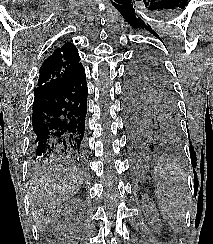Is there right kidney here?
<instances>
[{"mask_svg": "<svg viewBox=\"0 0 213 244\" xmlns=\"http://www.w3.org/2000/svg\"><path fill=\"white\" fill-rule=\"evenodd\" d=\"M83 207V200L80 198H74L67 202L66 208H79Z\"/></svg>", "mask_w": 213, "mask_h": 244, "instance_id": "ca27d5eb", "label": "right kidney"}]
</instances>
